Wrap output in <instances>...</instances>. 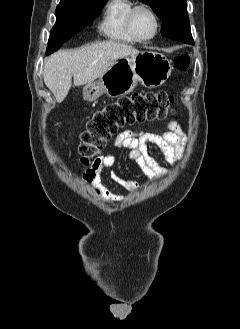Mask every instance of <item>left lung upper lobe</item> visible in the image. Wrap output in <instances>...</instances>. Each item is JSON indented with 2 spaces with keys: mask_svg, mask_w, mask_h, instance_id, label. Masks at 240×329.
I'll list each match as a JSON object with an SVG mask.
<instances>
[{
  "mask_svg": "<svg viewBox=\"0 0 240 329\" xmlns=\"http://www.w3.org/2000/svg\"><path fill=\"white\" fill-rule=\"evenodd\" d=\"M150 5L163 20L161 34L188 44H193L186 0H141Z\"/></svg>",
  "mask_w": 240,
  "mask_h": 329,
  "instance_id": "left-lung-upper-lobe-1",
  "label": "left lung upper lobe"
}]
</instances>
